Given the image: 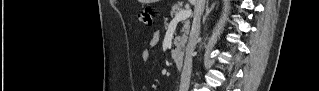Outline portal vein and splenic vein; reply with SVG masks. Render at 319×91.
Instances as JSON below:
<instances>
[{
	"label": "portal vein and splenic vein",
	"mask_w": 319,
	"mask_h": 91,
	"mask_svg": "<svg viewBox=\"0 0 319 91\" xmlns=\"http://www.w3.org/2000/svg\"><path fill=\"white\" fill-rule=\"evenodd\" d=\"M192 14L191 10H181L177 13L173 19V21L180 22L188 19Z\"/></svg>",
	"instance_id": "portal-vein-and-splenic-vein-1"
}]
</instances>
